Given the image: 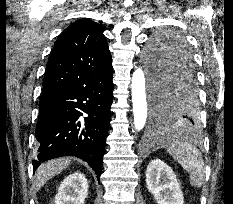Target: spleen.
Listing matches in <instances>:
<instances>
[{"label":"spleen","instance_id":"1","mask_svg":"<svg viewBox=\"0 0 233 204\" xmlns=\"http://www.w3.org/2000/svg\"><path fill=\"white\" fill-rule=\"evenodd\" d=\"M167 152L190 175L192 187L200 188L205 182V165L199 149L186 141H177L168 146Z\"/></svg>","mask_w":233,"mask_h":204}]
</instances>
